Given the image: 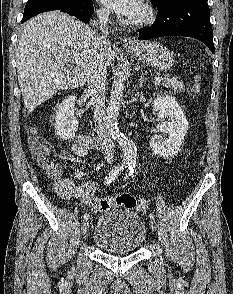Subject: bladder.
I'll list each match as a JSON object with an SVG mask.
<instances>
[{
  "mask_svg": "<svg viewBox=\"0 0 233 294\" xmlns=\"http://www.w3.org/2000/svg\"><path fill=\"white\" fill-rule=\"evenodd\" d=\"M146 236L145 224L136 212L126 207H114L98 218L92 238L105 252L126 254L140 249Z\"/></svg>",
  "mask_w": 233,
  "mask_h": 294,
  "instance_id": "1",
  "label": "bladder"
}]
</instances>
